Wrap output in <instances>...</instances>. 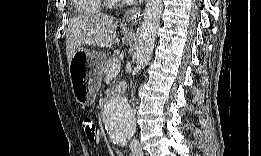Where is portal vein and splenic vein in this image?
<instances>
[{"label":"portal vein and splenic vein","mask_w":261,"mask_h":156,"mask_svg":"<svg viewBox=\"0 0 261 156\" xmlns=\"http://www.w3.org/2000/svg\"><path fill=\"white\" fill-rule=\"evenodd\" d=\"M121 66L120 64H115L113 65L110 70L109 73L107 74L108 76H114L117 75L120 72Z\"/></svg>","instance_id":"portal-vein-and-splenic-vein-1"}]
</instances>
